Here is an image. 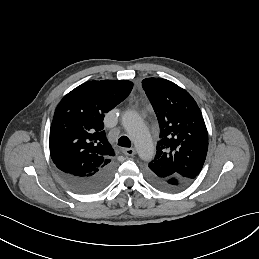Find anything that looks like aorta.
Instances as JSON below:
<instances>
[{
	"instance_id": "aorta-1",
	"label": "aorta",
	"mask_w": 259,
	"mask_h": 259,
	"mask_svg": "<svg viewBox=\"0 0 259 259\" xmlns=\"http://www.w3.org/2000/svg\"><path fill=\"white\" fill-rule=\"evenodd\" d=\"M122 124L132 139L139 156L150 160L154 156L155 147L140 116L134 111H127L122 118Z\"/></svg>"
}]
</instances>
